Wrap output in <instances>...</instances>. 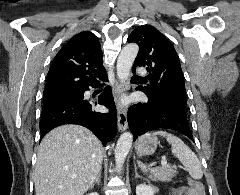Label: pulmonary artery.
<instances>
[{
  "label": "pulmonary artery",
  "mask_w": 240,
  "mask_h": 195,
  "mask_svg": "<svg viewBox=\"0 0 240 195\" xmlns=\"http://www.w3.org/2000/svg\"><path fill=\"white\" fill-rule=\"evenodd\" d=\"M146 71H145V69H143V67L142 66H139L138 67V69H137V74H138V76H145V73Z\"/></svg>",
  "instance_id": "1"
}]
</instances>
